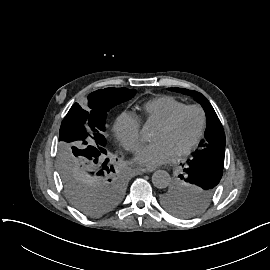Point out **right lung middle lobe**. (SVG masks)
<instances>
[{"label": "right lung middle lobe", "instance_id": "dd1d6c3e", "mask_svg": "<svg viewBox=\"0 0 270 270\" xmlns=\"http://www.w3.org/2000/svg\"><path fill=\"white\" fill-rule=\"evenodd\" d=\"M135 94V89H99L83 104L74 103L61 123L57 169L69 203L87 216H100L123 198L126 176L117 159L109 161L102 132L107 111Z\"/></svg>", "mask_w": 270, "mask_h": 270}]
</instances>
